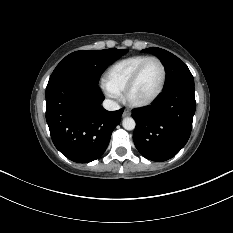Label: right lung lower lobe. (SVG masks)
<instances>
[{
	"instance_id": "1",
	"label": "right lung lower lobe",
	"mask_w": 233,
	"mask_h": 233,
	"mask_svg": "<svg viewBox=\"0 0 233 233\" xmlns=\"http://www.w3.org/2000/svg\"><path fill=\"white\" fill-rule=\"evenodd\" d=\"M97 84L57 79L46 88V120L55 147L68 159L88 163L106 150L123 109L109 112Z\"/></svg>"
}]
</instances>
